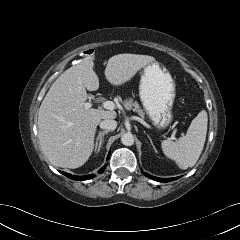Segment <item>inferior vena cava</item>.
I'll use <instances>...</instances> for the list:
<instances>
[{"mask_svg": "<svg viewBox=\"0 0 240 240\" xmlns=\"http://www.w3.org/2000/svg\"><path fill=\"white\" fill-rule=\"evenodd\" d=\"M117 127V122L112 119H104L100 122V128L106 131L115 130Z\"/></svg>", "mask_w": 240, "mask_h": 240, "instance_id": "obj_1", "label": "inferior vena cava"}]
</instances>
